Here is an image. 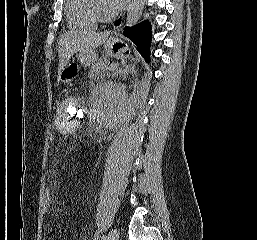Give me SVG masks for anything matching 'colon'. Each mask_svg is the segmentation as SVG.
Listing matches in <instances>:
<instances>
[{
  "mask_svg": "<svg viewBox=\"0 0 257 240\" xmlns=\"http://www.w3.org/2000/svg\"><path fill=\"white\" fill-rule=\"evenodd\" d=\"M78 76V68L74 64L66 66L62 72L61 79L65 84L72 85L75 83ZM53 204V195L49 189L46 188L43 199V211L48 214Z\"/></svg>",
  "mask_w": 257,
  "mask_h": 240,
  "instance_id": "obj_1",
  "label": "colon"
}]
</instances>
